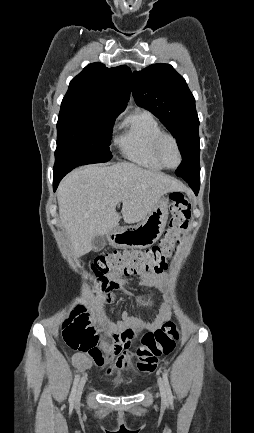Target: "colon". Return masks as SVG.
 Here are the masks:
<instances>
[{
	"mask_svg": "<svg viewBox=\"0 0 254 433\" xmlns=\"http://www.w3.org/2000/svg\"><path fill=\"white\" fill-rule=\"evenodd\" d=\"M171 217L159 245L146 250H114L98 256L91 264V270L102 287L117 276L134 274H155L163 271L172 257L191 216V202L180 192L170 194ZM66 345L84 354L96 353V336L90 316L84 308L76 309L62 326ZM179 339L174 321L167 320L159 328L144 334L141 345L136 349L137 368L140 372H153L159 357L170 354Z\"/></svg>",
	"mask_w": 254,
	"mask_h": 433,
	"instance_id": "obj_1",
	"label": "colon"
}]
</instances>
